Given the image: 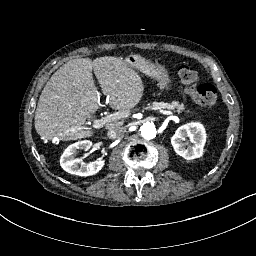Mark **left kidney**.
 Masks as SVG:
<instances>
[{"label":"left kidney","mask_w":256,"mask_h":256,"mask_svg":"<svg viewBox=\"0 0 256 256\" xmlns=\"http://www.w3.org/2000/svg\"><path fill=\"white\" fill-rule=\"evenodd\" d=\"M206 140V133L199 123L181 126L171 138L175 152L186 160L200 157Z\"/></svg>","instance_id":"1"}]
</instances>
